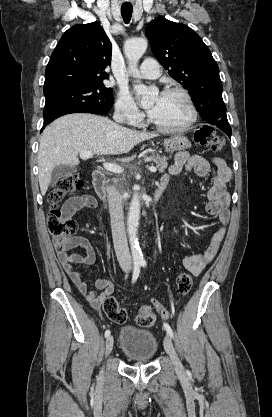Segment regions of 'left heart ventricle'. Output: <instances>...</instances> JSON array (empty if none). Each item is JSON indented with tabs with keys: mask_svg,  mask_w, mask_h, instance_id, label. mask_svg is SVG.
Segmentation results:
<instances>
[{
	"mask_svg": "<svg viewBox=\"0 0 272 417\" xmlns=\"http://www.w3.org/2000/svg\"><path fill=\"white\" fill-rule=\"evenodd\" d=\"M155 107L151 118L158 124L166 127H177L187 122L190 116L188 105L180 95L157 96L150 108Z\"/></svg>",
	"mask_w": 272,
	"mask_h": 417,
	"instance_id": "b2bd125f",
	"label": "left heart ventricle"
}]
</instances>
